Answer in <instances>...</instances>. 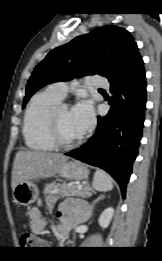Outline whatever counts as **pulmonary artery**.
<instances>
[{
  "label": "pulmonary artery",
  "mask_w": 162,
  "mask_h": 261,
  "mask_svg": "<svg viewBox=\"0 0 162 261\" xmlns=\"http://www.w3.org/2000/svg\"><path fill=\"white\" fill-rule=\"evenodd\" d=\"M92 85L94 88L97 89H108L109 88V82L108 80L100 77V76H93L92 77ZM47 89L53 93L54 95H56L57 97H59L60 99H63L69 89V84L67 82H55L50 84Z\"/></svg>",
  "instance_id": "1"
}]
</instances>
